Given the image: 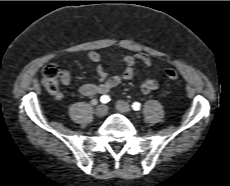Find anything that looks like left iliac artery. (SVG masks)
Instances as JSON below:
<instances>
[{
    "instance_id": "1",
    "label": "left iliac artery",
    "mask_w": 230,
    "mask_h": 186,
    "mask_svg": "<svg viewBox=\"0 0 230 186\" xmlns=\"http://www.w3.org/2000/svg\"><path fill=\"white\" fill-rule=\"evenodd\" d=\"M132 108H133L135 111L140 110L141 104L138 103V102H134V103L132 104Z\"/></svg>"
}]
</instances>
